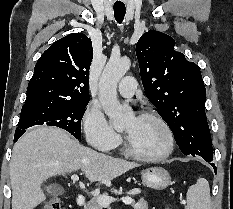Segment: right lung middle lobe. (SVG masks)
<instances>
[{
    "mask_svg": "<svg viewBox=\"0 0 233 209\" xmlns=\"http://www.w3.org/2000/svg\"><path fill=\"white\" fill-rule=\"evenodd\" d=\"M89 100L81 102H41L24 104L15 134L35 126H57L65 129L77 139L81 138V120Z\"/></svg>",
    "mask_w": 233,
    "mask_h": 209,
    "instance_id": "obj_1",
    "label": "right lung middle lobe"
}]
</instances>
